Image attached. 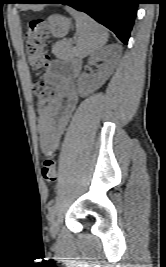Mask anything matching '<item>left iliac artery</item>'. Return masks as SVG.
I'll use <instances>...</instances> for the list:
<instances>
[{
    "instance_id": "1",
    "label": "left iliac artery",
    "mask_w": 166,
    "mask_h": 267,
    "mask_svg": "<svg viewBox=\"0 0 166 267\" xmlns=\"http://www.w3.org/2000/svg\"><path fill=\"white\" fill-rule=\"evenodd\" d=\"M56 211H57V207L56 205H52L50 208H49V219L52 220L56 214Z\"/></svg>"
}]
</instances>
